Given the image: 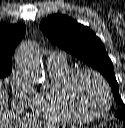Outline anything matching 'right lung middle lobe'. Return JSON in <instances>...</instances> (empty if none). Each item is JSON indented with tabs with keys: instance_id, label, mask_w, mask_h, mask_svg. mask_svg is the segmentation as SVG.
<instances>
[{
	"instance_id": "obj_1",
	"label": "right lung middle lobe",
	"mask_w": 125,
	"mask_h": 128,
	"mask_svg": "<svg viewBox=\"0 0 125 128\" xmlns=\"http://www.w3.org/2000/svg\"><path fill=\"white\" fill-rule=\"evenodd\" d=\"M12 71V64H0V77L4 78Z\"/></svg>"
}]
</instances>
